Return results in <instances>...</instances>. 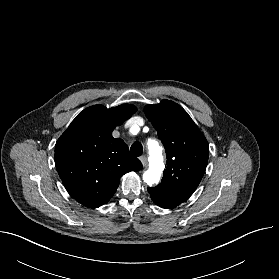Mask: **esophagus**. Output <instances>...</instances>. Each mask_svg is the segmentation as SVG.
<instances>
[{"instance_id":"esophagus-1","label":"esophagus","mask_w":279,"mask_h":279,"mask_svg":"<svg viewBox=\"0 0 279 279\" xmlns=\"http://www.w3.org/2000/svg\"><path fill=\"white\" fill-rule=\"evenodd\" d=\"M140 161L143 164V166L147 165L148 161H147V157L145 155L140 157Z\"/></svg>"}]
</instances>
